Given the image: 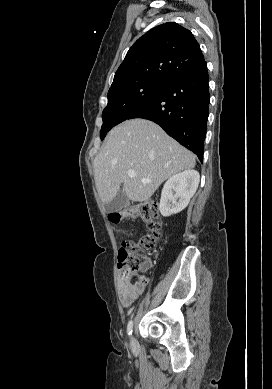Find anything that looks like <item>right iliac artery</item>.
Segmentation results:
<instances>
[{
	"mask_svg": "<svg viewBox=\"0 0 272 389\" xmlns=\"http://www.w3.org/2000/svg\"><path fill=\"white\" fill-rule=\"evenodd\" d=\"M132 328H133V322L130 321V322L128 323V326H127L128 335H131V334H132Z\"/></svg>",
	"mask_w": 272,
	"mask_h": 389,
	"instance_id": "1",
	"label": "right iliac artery"
}]
</instances>
